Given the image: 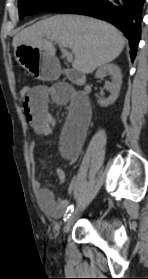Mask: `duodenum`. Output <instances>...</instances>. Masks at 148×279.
<instances>
[{
  "mask_svg": "<svg viewBox=\"0 0 148 279\" xmlns=\"http://www.w3.org/2000/svg\"><path fill=\"white\" fill-rule=\"evenodd\" d=\"M62 75L68 77V79L72 82L80 83L81 85L85 86V89H87L85 78L81 73L71 69H64Z\"/></svg>",
  "mask_w": 148,
  "mask_h": 279,
  "instance_id": "410a0bca",
  "label": "duodenum"
}]
</instances>
